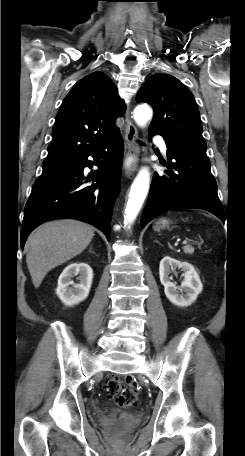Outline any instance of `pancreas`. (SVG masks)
Here are the masks:
<instances>
[{
  "instance_id": "pancreas-1",
  "label": "pancreas",
  "mask_w": 245,
  "mask_h": 456,
  "mask_svg": "<svg viewBox=\"0 0 245 456\" xmlns=\"http://www.w3.org/2000/svg\"><path fill=\"white\" fill-rule=\"evenodd\" d=\"M184 253L192 255L194 253V247L186 245L183 247Z\"/></svg>"
}]
</instances>
